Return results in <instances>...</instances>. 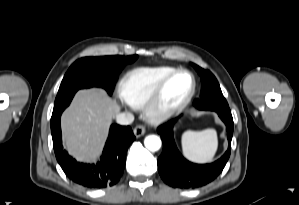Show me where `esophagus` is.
I'll list each match as a JSON object with an SVG mask.
<instances>
[{"mask_svg": "<svg viewBox=\"0 0 299 205\" xmlns=\"http://www.w3.org/2000/svg\"><path fill=\"white\" fill-rule=\"evenodd\" d=\"M133 132H134V135H135L137 138H139V137H141L142 135L145 134L146 129H145V127H144L143 125H137V126L134 128Z\"/></svg>", "mask_w": 299, "mask_h": 205, "instance_id": "obj_1", "label": "esophagus"}]
</instances>
